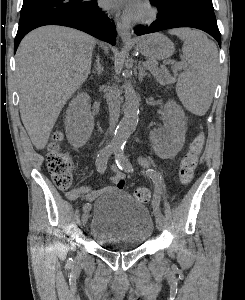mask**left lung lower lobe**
<instances>
[{"label":"left lung lower lobe","instance_id":"1","mask_svg":"<svg viewBox=\"0 0 245 300\" xmlns=\"http://www.w3.org/2000/svg\"><path fill=\"white\" fill-rule=\"evenodd\" d=\"M158 18L150 26H137L134 33L138 36L165 29L178 27H192L210 34L221 46L219 32L214 10L190 3H175L167 8H162L156 3Z\"/></svg>","mask_w":245,"mask_h":300}]
</instances>
